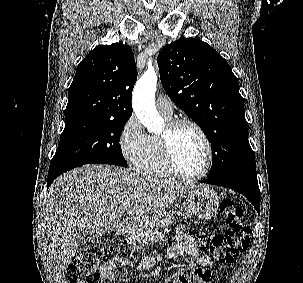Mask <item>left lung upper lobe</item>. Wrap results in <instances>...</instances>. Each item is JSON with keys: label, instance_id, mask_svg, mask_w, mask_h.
Wrapping results in <instances>:
<instances>
[{"label": "left lung upper lobe", "instance_id": "5c2ea615", "mask_svg": "<svg viewBox=\"0 0 303 283\" xmlns=\"http://www.w3.org/2000/svg\"><path fill=\"white\" fill-rule=\"evenodd\" d=\"M162 85L168 96L203 130L211 143L208 178L256 168L248 143L244 99L227 61L210 45L180 38L158 55Z\"/></svg>", "mask_w": 303, "mask_h": 283}]
</instances>
